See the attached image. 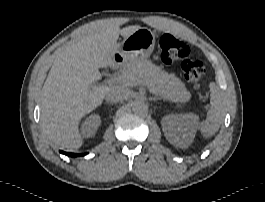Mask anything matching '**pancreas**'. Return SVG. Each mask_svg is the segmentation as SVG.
I'll return each instance as SVG.
<instances>
[{
	"instance_id": "obj_1",
	"label": "pancreas",
	"mask_w": 265,
	"mask_h": 202,
	"mask_svg": "<svg viewBox=\"0 0 265 202\" xmlns=\"http://www.w3.org/2000/svg\"><path fill=\"white\" fill-rule=\"evenodd\" d=\"M121 76L126 77L125 84L134 86L144 82L149 88L156 90L157 94L175 103H186L191 98L190 92L180 79L148 60L128 62Z\"/></svg>"
}]
</instances>
